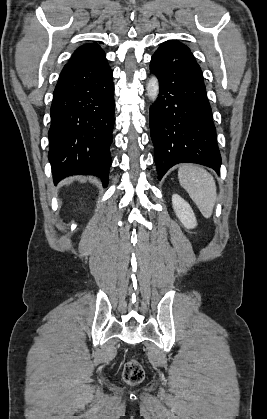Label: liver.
<instances>
[{"label": "liver", "mask_w": 267, "mask_h": 419, "mask_svg": "<svg viewBox=\"0 0 267 419\" xmlns=\"http://www.w3.org/2000/svg\"><path fill=\"white\" fill-rule=\"evenodd\" d=\"M72 180L71 179H68V180H66V184H68V183H70Z\"/></svg>", "instance_id": "liver-1"}]
</instances>
